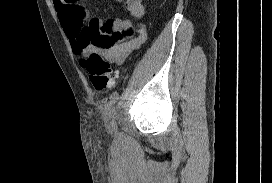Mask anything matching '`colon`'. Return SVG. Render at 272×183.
<instances>
[{"instance_id":"1","label":"colon","mask_w":272,"mask_h":183,"mask_svg":"<svg viewBox=\"0 0 272 183\" xmlns=\"http://www.w3.org/2000/svg\"><path fill=\"white\" fill-rule=\"evenodd\" d=\"M81 65L97 91H104L114 86L117 71L100 55L95 53L87 55L81 60Z\"/></svg>"}]
</instances>
